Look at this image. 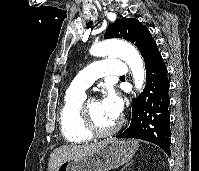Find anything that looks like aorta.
I'll list each match as a JSON object with an SVG mask.
<instances>
[{"label": "aorta", "mask_w": 199, "mask_h": 171, "mask_svg": "<svg viewBox=\"0 0 199 171\" xmlns=\"http://www.w3.org/2000/svg\"><path fill=\"white\" fill-rule=\"evenodd\" d=\"M93 56H113L124 60L131 69L135 88L141 90L145 82V69L138 51L129 43L121 40H105L92 46Z\"/></svg>", "instance_id": "aorta-1"}]
</instances>
